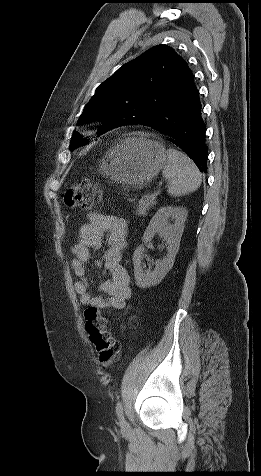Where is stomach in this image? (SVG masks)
Masks as SVG:
<instances>
[{"label": "stomach", "mask_w": 261, "mask_h": 476, "mask_svg": "<svg viewBox=\"0 0 261 476\" xmlns=\"http://www.w3.org/2000/svg\"><path fill=\"white\" fill-rule=\"evenodd\" d=\"M167 163L159 142L134 134L119 140L99 162L103 174L126 185L142 186L151 181Z\"/></svg>", "instance_id": "stomach-1"}]
</instances>
